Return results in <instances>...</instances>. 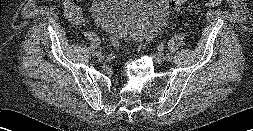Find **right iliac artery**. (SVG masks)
I'll return each mask as SVG.
<instances>
[{"label": "right iliac artery", "mask_w": 253, "mask_h": 131, "mask_svg": "<svg viewBox=\"0 0 253 131\" xmlns=\"http://www.w3.org/2000/svg\"><path fill=\"white\" fill-rule=\"evenodd\" d=\"M91 53H92L93 55L99 56V55L101 54V51H100L99 49H97L96 47H93V48L91 49Z\"/></svg>", "instance_id": "82829eb1"}]
</instances>
